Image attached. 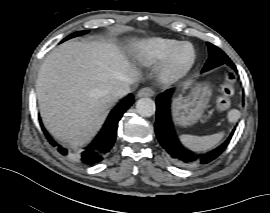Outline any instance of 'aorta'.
<instances>
[{
  "label": "aorta",
  "mask_w": 270,
  "mask_h": 213,
  "mask_svg": "<svg viewBox=\"0 0 270 213\" xmlns=\"http://www.w3.org/2000/svg\"><path fill=\"white\" fill-rule=\"evenodd\" d=\"M137 113L143 117H150L155 113V102L150 98H141L136 103Z\"/></svg>",
  "instance_id": "aorta-1"
}]
</instances>
